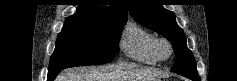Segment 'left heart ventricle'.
<instances>
[{"mask_svg":"<svg viewBox=\"0 0 237 81\" xmlns=\"http://www.w3.org/2000/svg\"><path fill=\"white\" fill-rule=\"evenodd\" d=\"M162 53H163L165 56L168 55V50H167V48L164 47V48L162 49Z\"/></svg>","mask_w":237,"mask_h":81,"instance_id":"1","label":"left heart ventricle"}]
</instances>
